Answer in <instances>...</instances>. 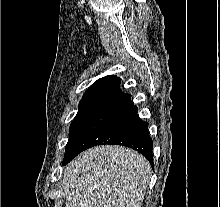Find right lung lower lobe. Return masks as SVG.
Segmentation results:
<instances>
[{
	"mask_svg": "<svg viewBox=\"0 0 220 207\" xmlns=\"http://www.w3.org/2000/svg\"><path fill=\"white\" fill-rule=\"evenodd\" d=\"M120 79L112 77L100 87L82 125L72 137L64 155L63 165L80 152L95 145H124L143 154L153 163V142L148 123L139 119L130 95L119 89Z\"/></svg>",
	"mask_w": 220,
	"mask_h": 207,
	"instance_id": "98d812e1",
	"label": "right lung lower lobe"
}]
</instances>
